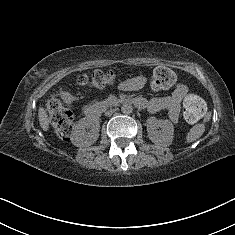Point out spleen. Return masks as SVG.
Instances as JSON below:
<instances>
[{
    "label": "spleen",
    "mask_w": 235,
    "mask_h": 235,
    "mask_svg": "<svg viewBox=\"0 0 235 235\" xmlns=\"http://www.w3.org/2000/svg\"><path fill=\"white\" fill-rule=\"evenodd\" d=\"M198 130H199V128H198ZM192 132H193V133H195V132H196V128H195V129H193V130H192Z\"/></svg>",
    "instance_id": "3e777b00"
}]
</instances>
